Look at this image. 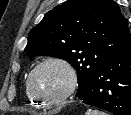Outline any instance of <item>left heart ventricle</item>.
Returning a JSON list of instances; mask_svg holds the SVG:
<instances>
[{"mask_svg":"<svg viewBox=\"0 0 131 115\" xmlns=\"http://www.w3.org/2000/svg\"><path fill=\"white\" fill-rule=\"evenodd\" d=\"M67 74L58 65H47L39 69L33 77L34 91L42 98H54L66 87Z\"/></svg>","mask_w":131,"mask_h":115,"instance_id":"b2bd125f","label":"left heart ventricle"}]
</instances>
